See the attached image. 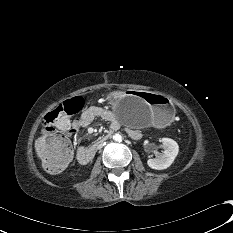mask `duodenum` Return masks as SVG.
I'll use <instances>...</instances> for the list:
<instances>
[{"label": "duodenum", "mask_w": 233, "mask_h": 233, "mask_svg": "<svg viewBox=\"0 0 233 233\" xmlns=\"http://www.w3.org/2000/svg\"><path fill=\"white\" fill-rule=\"evenodd\" d=\"M112 136V131L102 135L97 142L89 147H81L78 150V160L82 164H88L94 158L98 148L106 141H108Z\"/></svg>", "instance_id": "1"}]
</instances>
